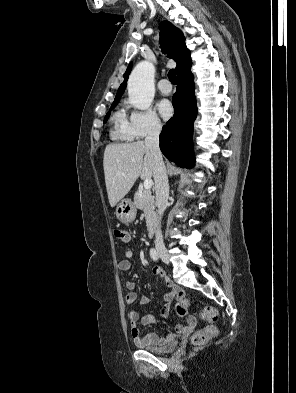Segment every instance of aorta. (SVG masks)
Segmentation results:
<instances>
[{"label":"aorta","instance_id":"1","mask_svg":"<svg viewBox=\"0 0 296 393\" xmlns=\"http://www.w3.org/2000/svg\"><path fill=\"white\" fill-rule=\"evenodd\" d=\"M155 68L148 61H141L132 70L128 79V94L130 102L140 110H147L155 95Z\"/></svg>","mask_w":296,"mask_h":393}]
</instances>
